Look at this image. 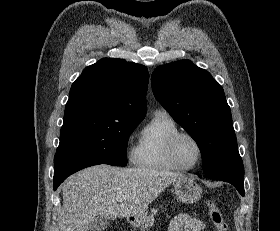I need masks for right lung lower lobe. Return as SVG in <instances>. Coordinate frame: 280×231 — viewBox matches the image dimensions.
<instances>
[{"label":"right lung lower lobe","instance_id":"1","mask_svg":"<svg viewBox=\"0 0 280 231\" xmlns=\"http://www.w3.org/2000/svg\"><path fill=\"white\" fill-rule=\"evenodd\" d=\"M103 164L99 161L59 155L54 158V190L71 174L93 165Z\"/></svg>","mask_w":280,"mask_h":231}]
</instances>
